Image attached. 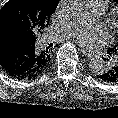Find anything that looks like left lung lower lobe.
<instances>
[{
  "instance_id": "1",
  "label": "left lung lower lobe",
  "mask_w": 118,
  "mask_h": 118,
  "mask_svg": "<svg viewBox=\"0 0 118 118\" xmlns=\"http://www.w3.org/2000/svg\"><path fill=\"white\" fill-rule=\"evenodd\" d=\"M115 57L116 58L111 66L107 68L104 73L99 75L100 79L112 84H118V56L115 55Z\"/></svg>"
}]
</instances>
